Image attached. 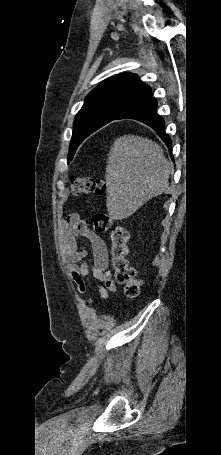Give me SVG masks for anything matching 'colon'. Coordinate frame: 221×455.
Segmentation results:
<instances>
[{"label":"colon","mask_w":221,"mask_h":455,"mask_svg":"<svg viewBox=\"0 0 221 455\" xmlns=\"http://www.w3.org/2000/svg\"><path fill=\"white\" fill-rule=\"evenodd\" d=\"M70 188L73 195L95 194L102 196L106 192V183L94 177H74ZM93 228L98 233L110 230V263L117 283L125 286L128 296L135 297L141 289V280L136 277L135 270L128 260V232L121 225H112L106 213H95L92 218Z\"/></svg>","instance_id":"colon-1"}]
</instances>
